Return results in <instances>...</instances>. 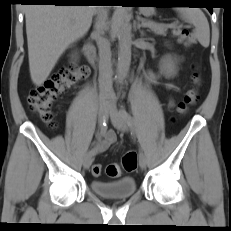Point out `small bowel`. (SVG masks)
<instances>
[{
  "label": "small bowel",
  "instance_id": "small-bowel-1",
  "mask_svg": "<svg viewBox=\"0 0 231 231\" xmlns=\"http://www.w3.org/2000/svg\"><path fill=\"white\" fill-rule=\"evenodd\" d=\"M148 80L150 83H157L158 81V76L155 74H150L148 76ZM167 87L169 89H174L175 86L173 84H167ZM173 102L170 101L169 106H172ZM116 140V135L114 133V131L112 130H108L105 132L104 135H102L101 137H99L95 142H94V151L95 154L98 153H102L104 151H106Z\"/></svg>",
  "mask_w": 231,
  "mask_h": 231
}]
</instances>
